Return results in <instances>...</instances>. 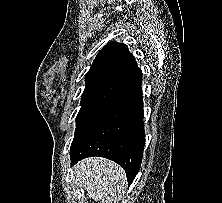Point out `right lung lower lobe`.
Wrapping results in <instances>:
<instances>
[{"label":"right lung lower lobe","instance_id":"right-lung-lower-lobe-1","mask_svg":"<svg viewBox=\"0 0 222 203\" xmlns=\"http://www.w3.org/2000/svg\"><path fill=\"white\" fill-rule=\"evenodd\" d=\"M141 84L142 74L77 125L70 148L72 165L87 157H104L118 163L132 183L145 145Z\"/></svg>","mask_w":222,"mask_h":203}]
</instances>
